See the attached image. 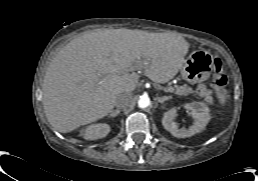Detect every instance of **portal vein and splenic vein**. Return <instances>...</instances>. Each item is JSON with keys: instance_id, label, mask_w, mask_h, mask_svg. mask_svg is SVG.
<instances>
[{"instance_id": "portal-vein-and-splenic-vein-1", "label": "portal vein and splenic vein", "mask_w": 258, "mask_h": 181, "mask_svg": "<svg viewBox=\"0 0 258 181\" xmlns=\"http://www.w3.org/2000/svg\"><path fill=\"white\" fill-rule=\"evenodd\" d=\"M166 91L172 93V92H173V87H168V88L166 89Z\"/></svg>"}]
</instances>
